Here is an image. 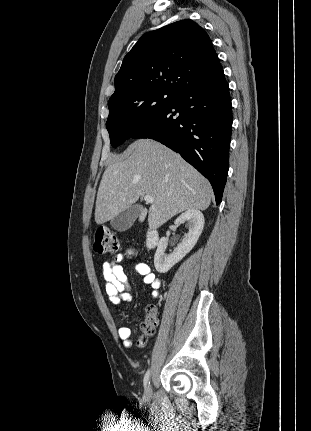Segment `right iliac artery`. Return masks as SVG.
I'll return each mask as SVG.
<instances>
[{"label": "right iliac artery", "mask_w": 311, "mask_h": 431, "mask_svg": "<svg viewBox=\"0 0 311 431\" xmlns=\"http://www.w3.org/2000/svg\"><path fill=\"white\" fill-rule=\"evenodd\" d=\"M149 377H150V370H148L144 376V387H147L148 382H149Z\"/></svg>", "instance_id": "right-iliac-artery-1"}]
</instances>
